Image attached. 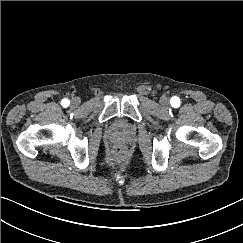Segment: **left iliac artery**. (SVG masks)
I'll list each match as a JSON object with an SVG mask.
<instances>
[{"instance_id":"obj_1","label":"left iliac artery","mask_w":243,"mask_h":243,"mask_svg":"<svg viewBox=\"0 0 243 243\" xmlns=\"http://www.w3.org/2000/svg\"><path fill=\"white\" fill-rule=\"evenodd\" d=\"M170 102L174 107H178L180 105V99L178 97H173Z\"/></svg>"}]
</instances>
